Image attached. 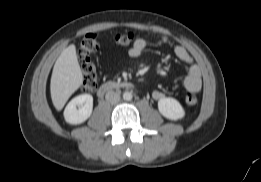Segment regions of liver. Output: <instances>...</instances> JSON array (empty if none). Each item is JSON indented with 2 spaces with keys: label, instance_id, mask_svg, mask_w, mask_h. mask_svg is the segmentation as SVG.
<instances>
[{
  "label": "liver",
  "instance_id": "1",
  "mask_svg": "<svg viewBox=\"0 0 261 182\" xmlns=\"http://www.w3.org/2000/svg\"><path fill=\"white\" fill-rule=\"evenodd\" d=\"M83 75L74 44L65 48L56 60L50 83L51 99L60 111L70 96L82 85Z\"/></svg>",
  "mask_w": 261,
  "mask_h": 182
}]
</instances>
